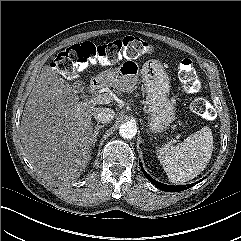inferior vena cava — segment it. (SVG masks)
<instances>
[{
	"label": "inferior vena cava",
	"mask_w": 241,
	"mask_h": 241,
	"mask_svg": "<svg viewBox=\"0 0 241 241\" xmlns=\"http://www.w3.org/2000/svg\"><path fill=\"white\" fill-rule=\"evenodd\" d=\"M93 116L98 122L109 123L114 118L115 112L111 108H97Z\"/></svg>",
	"instance_id": "inferior-vena-cava-1"
}]
</instances>
